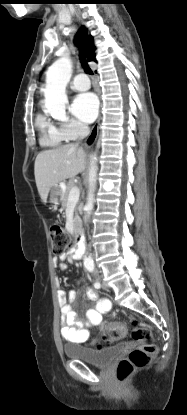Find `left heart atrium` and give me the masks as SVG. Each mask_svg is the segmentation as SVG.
<instances>
[{
	"label": "left heart atrium",
	"instance_id": "1",
	"mask_svg": "<svg viewBox=\"0 0 187 415\" xmlns=\"http://www.w3.org/2000/svg\"><path fill=\"white\" fill-rule=\"evenodd\" d=\"M99 101L97 96L91 92L79 94L75 97L71 111L82 122L94 121L98 114Z\"/></svg>",
	"mask_w": 187,
	"mask_h": 415
}]
</instances>
